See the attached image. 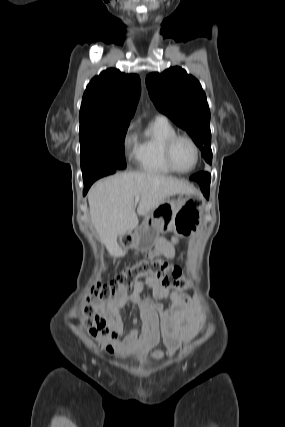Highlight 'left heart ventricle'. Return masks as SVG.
<instances>
[{
    "label": "left heart ventricle",
    "instance_id": "obj_1",
    "mask_svg": "<svg viewBox=\"0 0 285 427\" xmlns=\"http://www.w3.org/2000/svg\"><path fill=\"white\" fill-rule=\"evenodd\" d=\"M175 166L180 170H189L195 161V151L191 143L185 139L178 140L172 151Z\"/></svg>",
    "mask_w": 285,
    "mask_h": 427
}]
</instances>
